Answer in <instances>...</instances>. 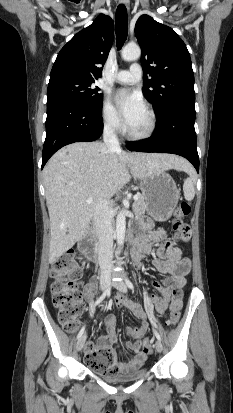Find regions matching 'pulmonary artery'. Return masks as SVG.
<instances>
[{"label": "pulmonary artery", "mask_w": 233, "mask_h": 413, "mask_svg": "<svg viewBox=\"0 0 233 413\" xmlns=\"http://www.w3.org/2000/svg\"><path fill=\"white\" fill-rule=\"evenodd\" d=\"M142 77V69L139 64H132L129 70H121L114 74V81L121 84H134L140 81Z\"/></svg>", "instance_id": "1"}]
</instances>
